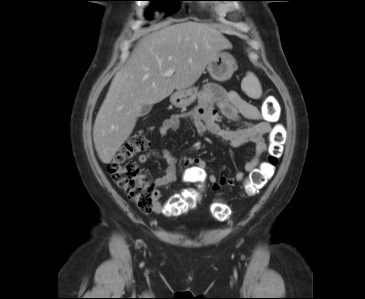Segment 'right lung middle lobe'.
<instances>
[{"label":"right lung middle lobe","mask_w":365,"mask_h":299,"mask_svg":"<svg viewBox=\"0 0 365 299\" xmlns=\"http://www.w3.org/2000/svg\"><path fill=\"white\" fill-rule=\"evenodd\" d=\"M149 1H155L154 5L156 6V8H160L164 2H169V1H179V0H149ZM179 6L175 3L170 4L169 8L167 10V14H172L175 13L176 11H178Z\"/></svg>","instance_id":"obj_1"}]
</instances>
